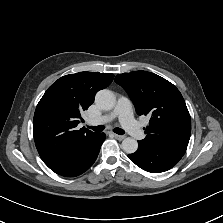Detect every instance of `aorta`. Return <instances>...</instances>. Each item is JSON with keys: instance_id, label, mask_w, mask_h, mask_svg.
I'll use <instances>...</instances> for the list:
<instances>
[{"instance_id": "1", "label": "aorta", "mask_w": 223, "mask_h": 223, "mask_svg": "<svg viewBox=\"0 0 223 223\" xmlns=\"http://www.w3.org/2000/svg\"><path fill=\"white\" fill-rule=\"evenodd\" d=\"M116 98L112 91L103 89L97 92L95 96V104L102 110H111L115 106ZM122 149L128 154H132L137 151L138 143L133 138H125L122 141Z\"/></svg>"}]
</instances>
